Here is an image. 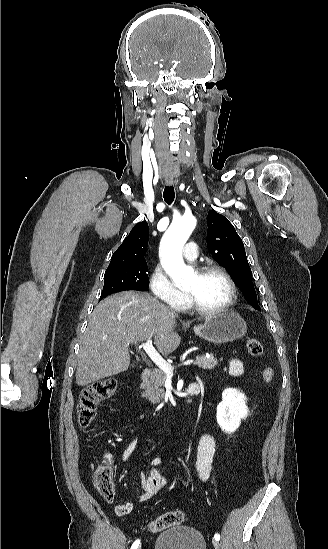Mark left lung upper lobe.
Here are the masks:
<instances>
[{
    "label": "left lung upper lobe",
    "mask_w": 328,
    "mask_h": 549,
    "mask_svg": "<svg viewBox=\"0 0 328 549\" xmlns=\"http://www.w3.org/2000/svg\"><path fill=\"white\" fill-rule=\"evenodd\" d=\"M207 245L215 261L239 285L249 304L259 306L244 244L230 221L214 210L208 214Z\"/></svg>",
    "instance_id": "1"
}]
</instances>
